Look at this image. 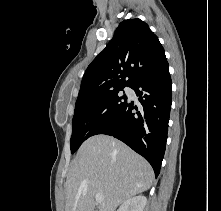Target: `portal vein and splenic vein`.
Returning a JSON list of instances; mask_svg holds the SVG:
<instances>
[{
	"mask_svg": "<svg viewBox=\"0 0 221 211\" xmlns=\"http://www.w3.org/2000/svg\"><path fill=\"white\" fill-rule=\"evenodd\" d=\"M95 200H96L97 203L100 204V203H102L104 201V197H103L102 194H96L95 195Z\"/></svg>",
	"mask_w": 221,
	"mask_h": 211,
	"instance_id": "18ae733b",
	"label": "portal vein and splenic vein"
}]
</instances>
